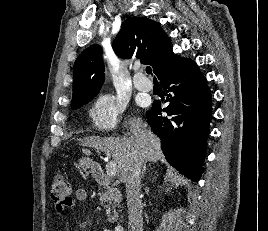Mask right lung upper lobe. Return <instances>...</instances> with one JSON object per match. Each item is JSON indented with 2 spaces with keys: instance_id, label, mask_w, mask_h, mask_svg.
Instances as JSON below:
<instances>
[{
  "instance_id": "obj_1",
  "label": "right lung upper lobe",
  "mask_w": 268,
  "mask_h": 231,
  "mask_svg": "<svg viewBox=\"0 0 268 231\" xmlns=\"http://www.w3.org/2000/svg\"><path fill=\"white\" fill-rule=\"evenodd\" d=\"M113 49L123 59L136 57L151 65L159 76L185 60L172 52L170 37L162 30L159 22L135 17L125 20L117 34ZM104 82L102 49L92 45L76 59L73 78L71 105L93 99Z\"/></svg>"
}]
</instances>
